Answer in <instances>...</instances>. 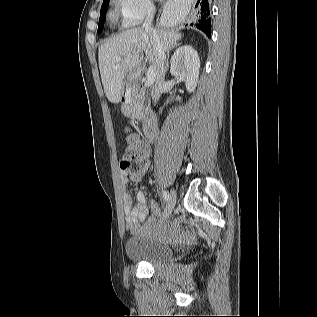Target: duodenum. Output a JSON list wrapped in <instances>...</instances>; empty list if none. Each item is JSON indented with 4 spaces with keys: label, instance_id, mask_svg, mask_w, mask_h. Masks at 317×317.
Returning <instances> with one entry per match:
<instances>
[{
    "label": "duodenum",
    "instance_id": "410a0bca",
    "mask_svg": "<svg viewBox=\"0 0 317 317\" xmlns=\"http://www.w3.org/2000/svg\"><path fill=\"white\" fill-rule=\"evenodd\" d=\"M122 110L125 115H132L133 110L131 108L130 100L121 101ZM144 134L147 140L152 141L156 138L158 133V121L155 115L148 114L145 117Z\"/></svg>",
    "mask_w": 317,
    "mask_h": 317
}]
</instances>
